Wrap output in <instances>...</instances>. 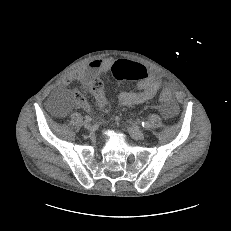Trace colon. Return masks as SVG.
Listing matches in <instances>:
<instances>
[{
    "instance_id": "1",
    "label": "colon",
    "mask_w": 231,
    "mask_h": 231,
    "mask_svg": "<svg viewBox=\"0 0 231 231\" xmlns=\"http://www.w3.org/2000/svg\"><path fill=\"white\" fill-rule=\"evenodd\" d=\"M112 76L118 81L124 80H140L146 77L147 71L145 67L131 60H118L111 67ZM92 92L100 99V107L103 110L109 108V104L104 97V85L101 79H95L91 85ZM160 100L168 102L171 100V92L165 90L160 94Z\"/></svg>"
}]
</instances>
